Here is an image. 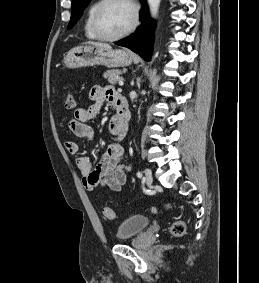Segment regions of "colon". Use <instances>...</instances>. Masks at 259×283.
Listing matches in <instances>:
<instances>
[{
	"instance_id": "colon-1",
	"label": "colon",
	"mask_w": 259,
	"mask_h": 283,
	"mask_svg": "<svg viewBox=\"0 0 259 283\" xmlns=\"http://www.w3.org/2000/svg\"><path fill=\"white\" fill-rule=\"evenodd\" d=\"M64 103L67 109L72 110L76 107V98L75 95L72 92H67L64 96ZM170 205L166 204L165 205V209H170ZM156 209L153 208L152 212L156 213ZM103 215L106 219L109 220H113L115 218V214L113 212V210L109 207H104L103 208ZM185 222L183 220H177L175 222L172 223L171 227H170V233L173 236H181L184 234L185 232Z\"/></svg>"
}]
</instances>
